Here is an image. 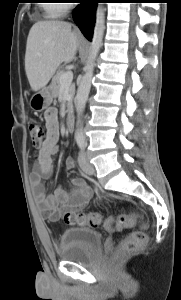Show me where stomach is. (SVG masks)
Segmentation results:
<instances>
[{"label":"stomach","mask_w":181,"mask_h":300,"mask_svg":"<svg viewBox=\"0 0 181 300\" xmlns=\"http://www.w3.org/2000/svg\"><path fill=\"white\" fill-rule=\"evenodd\" d=\"M54 95L52 87H44L35 93L30 99V107L35 111H42L46 109L53 101Z\"/></svg>","instance_id":"stomach-1"}]
</instances>
